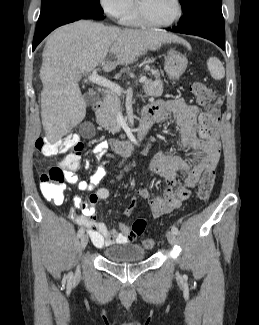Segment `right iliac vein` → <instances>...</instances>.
Returning a JSON list of instances; mask_svg holds the SVG:
<instances>
[{
  "label": "right iliac vein",
  "mask_w": 259,
  "mask_h": 325,
  "mask_svg": "<svg viewBox=\"0 0 259 325\" xmlns=\"http://www.w3.org/2000/svg\"><path fill=\"white\" fill-rule=\"evenodd\" d=\"M87 244H88V235L84 234V235H82L81 241H80L81 249L84 250L86 248ZM79 274H80V270L78 268L76 271V276H78Z\"/></svg>",
  "instance_id": "obj_1"
}]
</instances>
